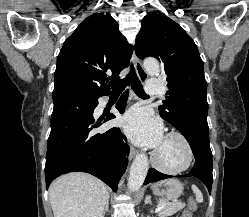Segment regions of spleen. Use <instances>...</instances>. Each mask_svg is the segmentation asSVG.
I'll use <instances>...</instances> for the list:
<instances>
[{"mask_svg": "<svg viewBox=\"0 0 249 217\" xmlns=\"http://www.w3.org/2000/svg\"><path fill=\"white\" fill-rule=\"evenodd\" d=\"M192 190L196 196L197 202H199V203L203 202V195H202L201 191L198 189V187L195 185H192Z\"/></svg>", "mask_w": 249, "mask_h": 217, "instance_id": "1", "label": "spleen"}]
</instances>
